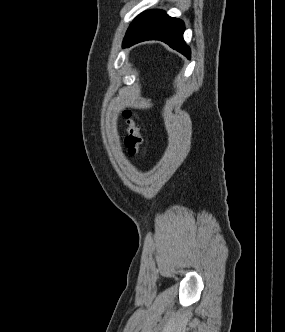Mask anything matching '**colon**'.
I'll return each instance as SVG.
<instances>
[{
	"instance_id": "5ec220e1",
	"label": "colon",
	"mask_w": 285,
	"mask_h": 332,
	"mask_svg": "<svg viewBox=\"0 0 285 332\" xmlns=\"http://www.w3.org/2000/svg\"><path fill=\"white\" fill-rule=\"evenodd\" d=\"M124 117L127 124V136L125 138V147L128 156L135 157L141 153L143 137L140 132V127L132 117L130 111L124 112Z\"/></svg>"
}]
</instances>
